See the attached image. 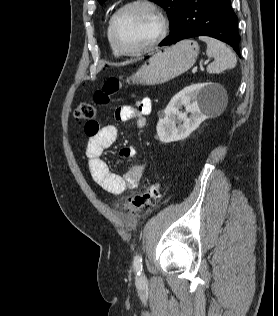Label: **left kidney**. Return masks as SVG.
Segmentation results:
<instances>
[{"mask_svg":"<svg viewBox=\"0 0 278 316\" xmlns=\"http://www.w3.org/2000/svg\"><path fill=\"white\" fill-rule=\"evenodd\" d=\"M224 96L225 90L218 83H198L182 89L171 99L157 123L159 140L170 143L187 138L208 118L210 111L220 104ZM182 106L186 109L185 113L180 111ZM177 120L183 123L176 126Z\"/></svg>","mask_w":278,"mask_h":316,"instance_id":"5707ae66","label":"left kidney"}]
</instances>
